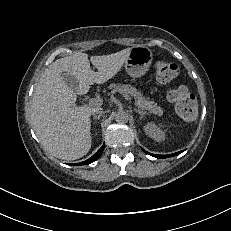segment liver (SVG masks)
<instances>
[{
	"label": "liver",
	"mask_w": 231,
	"mask_h": 231,
	"mask_svg": "<svg viewBox=\"0 0 231 231\" xmlns=\"http://www.w3.org/2000/svg\"><path fill=\"white\" fill-rule=\"evenodd\" d=\"M131 48L119 52L91 56L75 53L55 60L39 79L31 102V125L40 143L50 155L63 160H76L91 148L90 116L94 107L75 105L77 94H86L90 85L103 84L114 77L125 64ZM70 73L78 81V88L71 89L63 73Z\"/></svg>",
	"instance_id": "liver-1"
}]
</instances>
